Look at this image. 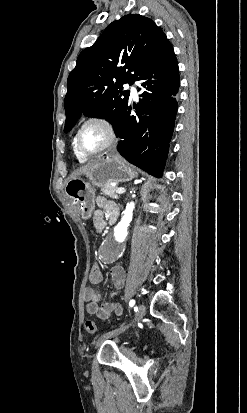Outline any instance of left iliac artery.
I'll return each mask as SVG.
<instances>
[{"mask_svg":"<svg viewBox=\"0 0 247 413\" xmlns=\"http://www.w3.org/2000/svg\"><path fill=\"white\" fill-rule=\"evenodd\" d=\"M134 305H135V300H133V299L130 300V301H129V306H130V307H133Z\"/></svg>","mask_w":247,"mask_h":413,"instance_id":"obj_1","label":"left iliac artery"}]
</instances>
